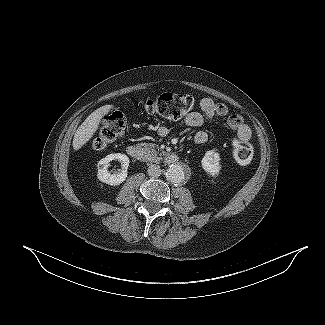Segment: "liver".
I'll use <instances>...</instances> for the list:
<instances>
[{
    "label": "liver",
    "mask_w": 325,
    "mask_h": 325,
    "mask_svg": "<svg viewBox=\"0 0 325 325\" xmlns=\"http://www.w3.org/2000/svg\"><path fill=\"white\" fill-rule=\"evenodd\" d=\"M113 105H105L92 112L78 127L73 138V149H81L98 130L101 119L109 113Z\"/></svg>",
    "instance_id": "liver-1"
}]
</instances>
